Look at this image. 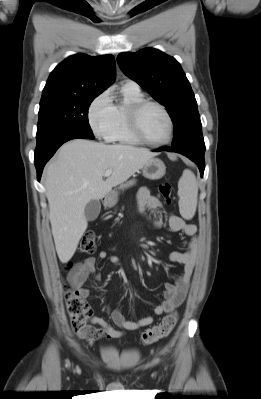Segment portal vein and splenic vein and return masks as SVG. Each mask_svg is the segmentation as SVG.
Returning a JSON list of instances; mask_svg holds the SVG:
<instances>
[{
	"label": "portal vein and splenic vein",
	"mask_w": 261,
	"mask_h": 399,
	"mask_svg": "<svg viewBox=\"0 0 261 399\" xmlns=\"http://www.w3.org/2000/svg\"><path fill=\"white\" fill-rule=\"evenodd\" d=\"M111 174H112V170H107V171L104 173V176H105V177H109Z\"/></svg>",
	"instance_id": "obj_1"
}]
</instances>
